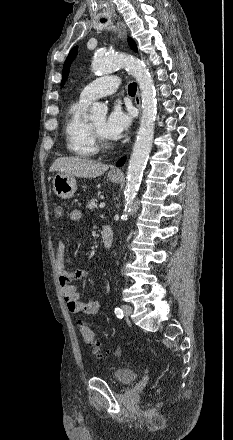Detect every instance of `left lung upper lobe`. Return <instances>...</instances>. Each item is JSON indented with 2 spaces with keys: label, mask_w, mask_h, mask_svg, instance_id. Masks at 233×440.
Wrapping results in <instances>:
<instances>
[{
  "label": "left lung upper lobe",
  "mask_w": 233,
  "mask_h": 440,
  "mask_svg": "<svg viewBox=\"0 0 233 440\" xmlns=\"http://www.w3.org/2000/svg\"><path fill=\"white\" fill-rule=\"evenodd\" d=\"M129 45L131 46V48H132L134 51L137 50L136 45H135V43H134V41H133L132 39H129ZM76 55H77V47H74V48L70 51L68 57L66 58V61H65V63H64V66H63V76H62V81H61V85H62V86H63V84L65 83V81H66V79H67V77H68V74H69V68H70V66H71L72 61H73L74 58L76 57Z\"/></svg>",
  "instance_id": "5c2ea615"
}]
</instances>
